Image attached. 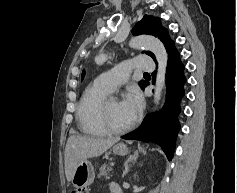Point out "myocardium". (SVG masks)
<instances>
[{"mask_svg": "<svg viewBox=\"0 0 237 193\" xmlns=\"http://www.w3.org/2000/svg\"><path fill=\"white\" fill-rule=\"evenodd\" d=\"M118 101V98L113 95L109 94L106 96L99 104L98 108V122L101 128L108 134L113 135H120L128 132L134 127V121L129 125L123 128H115L108 122V106L111 102Z\"/></svg>", "mask_w": 237, "mask_h": 193, "instance_id": "f54148a6", "label": "myocardium"}]
</instances>
